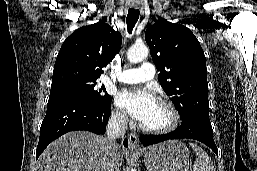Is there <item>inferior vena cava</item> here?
Instances as JSON below:
<instances>
[{"label":"inferior vena cava","instance_id":"1","mask_svg":"<svg viewBox=\"0 0 257 171\" xmlns=\"http://www.w3.org/2000/svg\"><path fill=\"white\" fill-rule=\"evenodd\" d=\"M127 116L124 114L111 115L106 127V157L104 159L103 171H119L116 161L118 144L116 139L124 136L127 129Z\"/></svg>","mask_w":257,"mask_h":171}]
</instances>
